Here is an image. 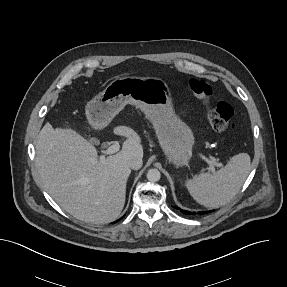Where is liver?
<instances>
[{
  "label": "liver",
  "mask_w": 287,
  "mask_h": 287,
  "mask_svg": "<svg viewBox=\"0 0 287 287\" xmlns=\"http://www.w3.org/2000/svg\"><path fill=\"white\" fill-rule=\"evenodd\" d=\"M124 136L121 151L104 160L80 135L54 129L46 123L36 143V165L46 191L78 220L100 224L114 221L125 204L131 170L129 159L143 158L140 136L130 127L117 126Z\"/></svg>",
  "instance_id": "obj_1"
}]
</instances>
